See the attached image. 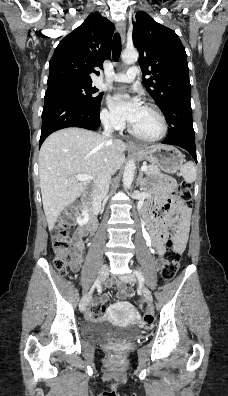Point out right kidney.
Here are the masks:
<instances>
[{
	"instance_id": "ca27d5eb",
	"label": "right kidney",
	"mask_w": 228,
	"mask_h": 396,
	"mask_svg": "<svg viewBox=\"0 0 228 396\" xmlns=\"http://www.w3.org/2000/svg\"><path fill=\"white\" fill-rule=\"evenodd\" d=\"M82 215L84 216V218H82V219H81L80 217H77V223H78L80 226L86 224V223L88 222V220H89V214H88L87 211H83V212H82Z\"/></svg>"
}]
</instances>
